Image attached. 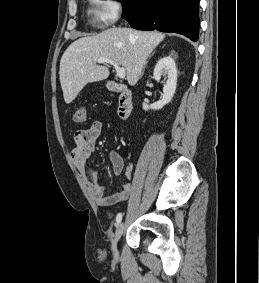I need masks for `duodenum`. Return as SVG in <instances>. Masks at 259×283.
<instances>
[{
	"label": "duodenum",
	"mask_w": 259,
	"mask_h": 283,
	"mask_svg": "<svg viewBox=\"0 0 259 283\" xmlns=\"http://www.w3.org/2000/svg\"><path fill=\"white\" fill-rule=\"evenodd\" d=\"M108 88L110 91L119 94L118 115L123 119L127 118L133 109L131 91L116 82H109Z\"/></svg>",
	"instance_id": "1"
}]
</instances>
